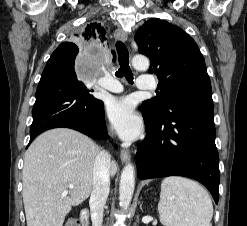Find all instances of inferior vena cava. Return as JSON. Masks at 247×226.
Wrapping results in <instances>:
<instances>
[{
  "label": "inferior vena cava",
  "mask_w": 247,
  "mask_h": 226,
  "mask_svg": "<svg viewBox=\"0 0 247 226\" xmlns=\"http://www.w3.org/2000/svg\"><path fill=\"white\" fill-rule=\"evenodd\" d=\"M110 164L111 158L108 152L100 151L94 162L93 188L89 200L93 226H102L104 206L110 190Z\"/></svg>",
  "instance_id": "602c4592"
}]
</instances>
